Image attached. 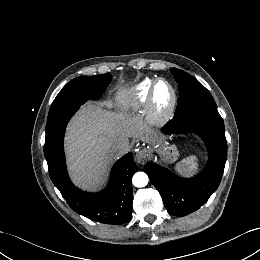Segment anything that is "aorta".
<instances>
[{"instance_id":"aorta-1","label":"aorta","mask_w":260,"mask_h":260,"mask_svg":"<svg viewBox=\"0 0 260 260\" xmlns=\"http://www.w3.org/2000/svg\"><path fill=\"white\" fill-rule=\"evenodd\" d=\"M149 178L144 172H137L133 175L132 183L135 187H144L148 184Z\"/></svg>"}]
</instances>
